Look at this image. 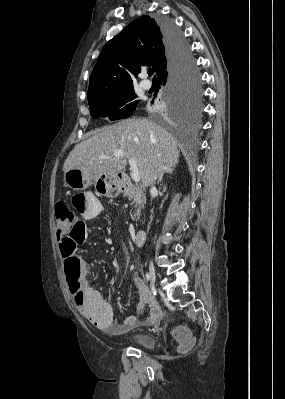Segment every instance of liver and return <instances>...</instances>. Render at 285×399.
I'll use <instances>...</instances> for the list:
<instances>
[{
	"instance_id": "1",
	"label": "liver",
	"mask_w": 285,
	"mask_h": 399,
	"mask_svg": "<svg viewBox=\"0 0 285 399\" xmlns=\"http://www.w3.org/2000/svg\"><path fill=\"white\" fill-rule=\"evenodd\" d=\"M116 151H123L124 155L116 157ZM129 159L136 160L142 186L148 187L165 169L178 163L177 142L153 121L123 120L99 129L76 145L65 160L63 171L76 168L91 177L114 176L125 169Z\"/></svg>"
}]
</instances>
